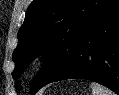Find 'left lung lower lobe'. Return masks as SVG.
<instances>
[{"mask_svg":"<svg viewBox=\"0 0 119 95\" xmlns=\"http://www.w3.org/2000/svg\"><path fill=\"white\" fill-rule=\"evenodd\" d=\"M71 78L97 82L119 95V0L88 28L68 68L47 84Z\"/></svg>","mask_w":119,"mask_h":95,"instance_id":"0a47b994","label":"left lung lower lobe"}]
</instances>
